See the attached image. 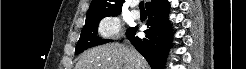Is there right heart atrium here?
Returning a JSON list of instances; mask_svg holds the SVG:
<instances>
[{
	"instance_id": "d8ad5b80",
	"label": "right heart atrium",
	"mask_w": 246,
	"mask_h": 69,
	"mask_svg": "<svg viewBox=\"0 0 246 69\" xmlns=\"http://www.w3.org/2000/svg\"><path fill=\"white\" fill-rule=\"evenodd\" d=\"M120 31V22L116 17L103 18L98 26V32L100 35L106 38L117 35Z\"/></svg>"
}]
</instances>
